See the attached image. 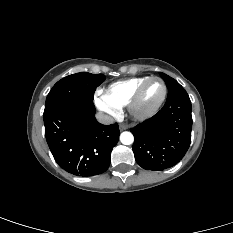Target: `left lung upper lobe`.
Wrapping results in <instances>:
<instances>
[{
    "label": "left lung upper lobe",
    "mask_w": 233,
    "mask_h": 233,
    "mask_svg": "<svg viewBox=\"0 0 233 233\" xmlns=\"http://www.w3.org/2000/svg\"><path fill=\"white\" fill-rule=\"evenodd\" d=\"M161 77L165 81L168 88V95L175 93L177 91L183 90V87L172 77L160 72Z\"/></svg>",
    "instance_id": "5c2ea615"
}]
</instances>
